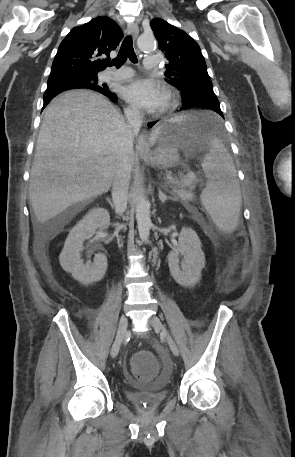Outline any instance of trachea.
<instances>
[{
	"instance_id": "1",
	"label": "trachea",
	"mask_w": 295,
	"mask_h": 457,
	"mask_svg": "<svg viewBox=\"0 0 295 457\" xmlns=\"http://www.w3.org/2000/svg\"><path fill=\"white\" fill-rule=\"evenodd\" d=\"M129 58L132 63H137V56L134 52L133 42L131 36H126L122 42L121 48L119 53L115 59L111 62L107 63L108 66H115L116 68H120Z\"/></svg>"
}]
</instances>
